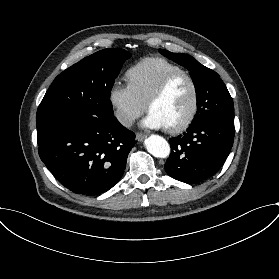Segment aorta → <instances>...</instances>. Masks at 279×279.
<instances>
[{
    "label": "aorta",
    "mask_w": 279,
    "mask_h": 279,
    "mask_svg": "<svg viewBox=\"0 0 279 279\" xmlns=\"http://www.w3.org/2000/svg\"><path fill=\"white\" fill-rule=\"evenodd\" d=\"M147 151L157 158H166L170 154L169 143L159 135H151L145 140Z\"/></svg>",
    "instance_id": "762f6f07"
}]
</instances>
